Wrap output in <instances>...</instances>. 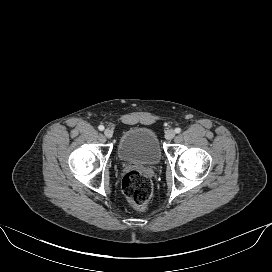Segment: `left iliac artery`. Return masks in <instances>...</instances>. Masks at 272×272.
<instances>
[{
	"label": "left iliac artery",
	"mask_w": 272,
	"mask_h": 272,
	"mask_svg": "<svg viewBox=\"0 0 272 272\" xmlns=\"http://www.w3.org/2000/svg\"><path fill=\"white\" fill-rule=\"evenodd\" d=\"M175 132H176V133H180V132H181V128H176V129H175Z\"/></svg>",
	"instance_id": "obj_1"
}]
</instances>
